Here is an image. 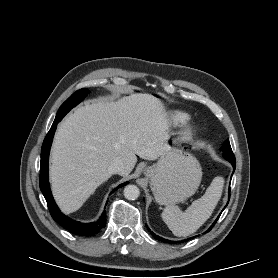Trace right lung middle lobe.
I'll list each match as a JSON object with an SVG mask.
<instances>
[{
	"instance_id": "1",
	"label": "right lung middle lobe",
	"mask_w": 278,
	"mask_h": 278,
	"mask_svg": "<svg viewBox=\"0 0 278 278\" xmlns=\"http://www.w3.org/2000/svg\"><path fill=\"white\" fill-rule=\"evenodd\" d=\"M88 93L89 91L86 88L76 91L61 105L57 113V116H64L71 108H73L79 102H81Z\"/></svg>"
}]
</instances>
